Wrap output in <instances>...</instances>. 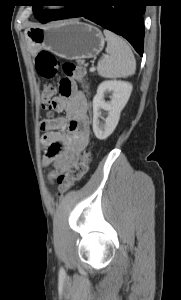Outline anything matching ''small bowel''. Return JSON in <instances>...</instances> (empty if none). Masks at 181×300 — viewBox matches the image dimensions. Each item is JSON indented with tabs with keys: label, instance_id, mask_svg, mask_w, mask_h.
<instances>
[{
	"label": "small bowel",
	"instance_id": "small-bowel-1",
	"mask_svg": "<svg viewBox=\"0 0 181 300\" xmlns=\"http://www.w3.org/2000/svg\"><path fill=\"white\" fill-rule=\"evenodd\" d=\"M52 109L65 116L51 117L41 123L46 131L43 136V165L52 164L54 167L49 174L51 181L78 160L90 133L87 99L72 80L60 82V94L52 99Z\"/></svg>",
	"mask_w": 181,
	"mask_h": 300
}]
</instances>
